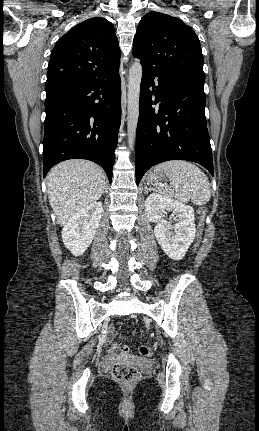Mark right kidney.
I'll use <instances>...</instances> for the list:
<instances>
[{
    "instance_id": "right-kidney-1",
    "label": "right kidney",
    "mask_w": 259,
    "mask_h": 431,
    "mask_svg": "<svg viewBox=\"0 0 259 431\" xmlns=\"http://www.w3.org/2000/svg\"><path fill=\"white\" fill-rule=\"evenodd\" d=\"M101 202H94L78 211L65 224L62 239L74 255L83 254L95 237L102 216Z\"/></svg>"
}]
</instances>
